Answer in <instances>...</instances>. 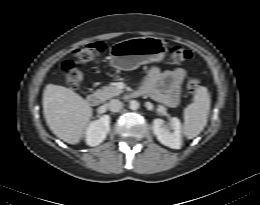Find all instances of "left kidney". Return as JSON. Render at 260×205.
<instances>
[{"label":"left kidney","mask_w":260,"mask_h":205,"mask_svg":"<svg viewBox=\"0 0 260 205\" xmlns=\"http://www.w3.org/2000/svg\"><path fill=\"white\" fill-rule=\"evenodd\" d=\"M170 129L172 131L165 126L162 119L157 118L153 120V132L158 141L169 148L180 149L182 146V127L178 118L173 117L171 119Z\"/></svg>","instance_id":"left-kidney-1"}]
</instances>
